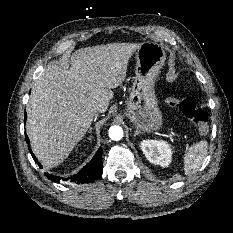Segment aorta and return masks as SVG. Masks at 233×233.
Listing matches in <instances>:
<instances>
[{
	"instance_id": "762f6f07",
	"label": "aorta",
	"mask_w": 233,
	"mask_h": 233,
	"mask_svg": "<svg viewBox=\"0 0 233 233\" xmlns=\"http://www.w3.org/2000/svg\"><path fill=\"white\" fill-rule=\"evenodd\" d=\"M109 137L114 141H119L123 137V129L117 125L111 126L109 129Z\"/></svg>"
}]
</instances>
